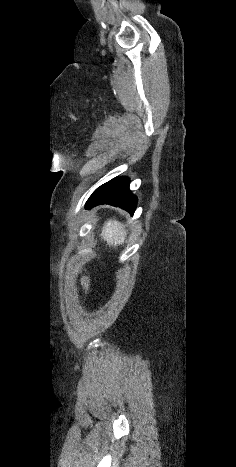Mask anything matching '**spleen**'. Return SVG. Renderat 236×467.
<instances>
[{"instance_id":"obj_1","label":"spleen","mask_w":236,"mask_h":467,"mask_svg":"<svg viewBox=\"0 0 236 467\" xmlns=\"http://www.w3.org/2000/svg\"><path fill=\"white\" fill-rule=\"evenodd\" d=\"M101 235L109 245L116 246L124 243L126 232L120 222L109 220L105 223Z\"/></svg>"}]
</instances>
